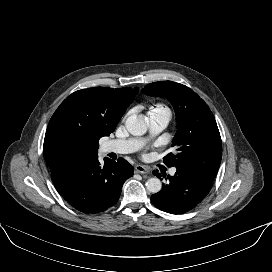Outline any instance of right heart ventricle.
I'll list each match as a JSON object with an SVG mask.
<instances>
[{
  "label": "right heart ventricle",
  "mask_w": 272,
  "mask_h": 272,
  "mask_svg": "<svg viewBox=\"0 0 272 272\" xmlns=\"http://www.w3.org/2000/svg\"><path fill=\"white\" fill-rule=\"evenodd\" d=\"M155 113H166L170 115V110L167 106L162 103H157L154 106H151L148 110V115L155 114Z\"/></svg>",
  "instance_id": "e07e8e85"
}]
</instances>
